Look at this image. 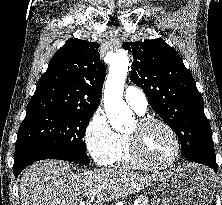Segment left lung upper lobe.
Listing matches in <instances>:
<instances>
[{
  "label": "left lung upper lobe",
  "instance_id": "left-lung-upper-lobe-1",
  "mask_svg": "<svg viewBox=\"0 0 222 205\" xmlns=\"http://www.w3.org/2000/svg\"><path fill=\"white\" fill-rule=\"evenodd\" d=\"M132 52V81L141 87L154 111L175 131L182 156L216 160L210 123L195 80L179 54L162 39L125 42Z\"/></svg>",
  "mask_w": 222,
  "mask_h": 205
}]
</instances>
